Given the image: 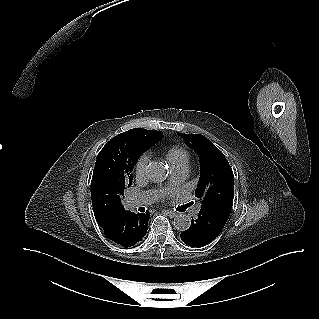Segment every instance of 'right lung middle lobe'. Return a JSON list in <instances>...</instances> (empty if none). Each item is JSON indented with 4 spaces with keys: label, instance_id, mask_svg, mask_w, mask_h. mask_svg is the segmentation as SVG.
I'll return each instance as SVG.
<instances>
[{
    "label": "right lung middle lobe",
    "instance_id": "dd1d6c3e",
    "mask_svg": "<svg viewBox=\"0 0 319 319\" xmlns=\"http://www.w3.org/2000/svg\"><path fill=\"white\" fill-rule=\"evenodd\" d=\"M141 155V152L116 138L103 147L97 156L91 181L94 212L123 207L124 191L131 186V172Z\"/></svg>",
    "mask_w": 319,
    "mask_h": 319
}]
</instances>
